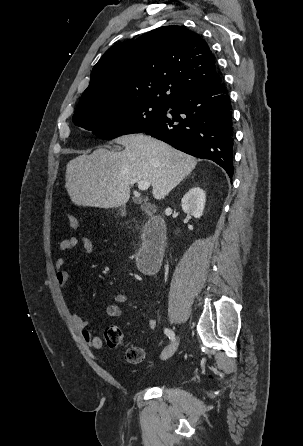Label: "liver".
<instances>
[{
    "mask_svg": "<svg viewBox=\"0 0 303 446\" xmlns=\"http://www.w3.org/2000/svg\"><path fill=\"white\" fill-rule=\"evenodd\" d=\"M120 152L96 149L66 166L65 187L75 205L116 208L130 198V186L149 181L153 197L164 199L196 166L197 160L143 134L117 138Z\"/></svg>",
    "mask_w": 303,
    "mask_h": 446,
    "instance_id": "obj_1",
    "label": "liver"
}]
</instances>
